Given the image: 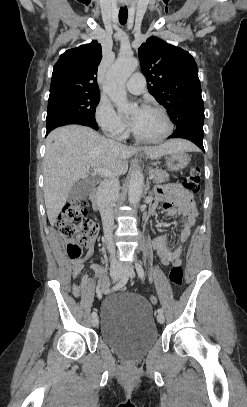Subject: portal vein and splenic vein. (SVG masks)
Segmentation results:
<instances>
[{
  "instance_id": "portal-vein-and-splenic-vein-1",
  "label": "portal vein and splenic vein",
  "mask_w": 247,
  "mask_h": 407,
  "mask_svg": "<svg viewBox=\"0 0 247 407\" xmlns=\"http://www.w3.org/2000/svg\"><path fill=\"white\" fill-rule=\"evenodd\" d=\"M94 174H98V175H101V176H104V177H111L112 176L111 172L108 171L105 168L94 170ZM153 177H154V175L150 174L149 179H153Z\"/></svg>"
}]
</instances>
